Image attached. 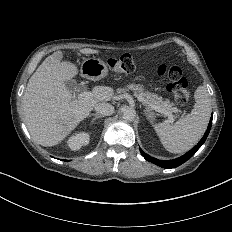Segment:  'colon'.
Here are the masks:
<instances>
[{
  "instance_id": "obj_1",
  "label": "colon",
  "mask_w": 232,
  "mask_h": 232,
  "mask_svg": "<svg viewBox=\"0 0 232 232\" xmlns=\"http://www.w3.org/2000/svg\"><path fill=\"white\" fill-rule=\"evenodd\" d=\"M107 66L115 73H136V68H133L132 59L128 55L109 56ZM167 82L175 85L171 87V94H174L173 102H176V105H187L190 81H187L179 72L172 71L167 77ZM177 110L185 111L186 107L178 106Z\"/></svg>"
}]
</instances>
